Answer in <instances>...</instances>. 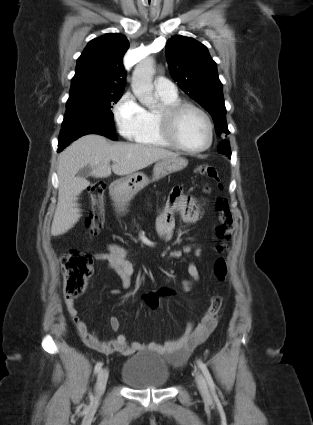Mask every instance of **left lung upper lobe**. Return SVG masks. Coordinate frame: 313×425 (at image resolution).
Listing matches in <instances>:
<instances>
[{"instance_id":"1","label":"left lung upper lobe","mask_w":313,"mask_h":425,"mask_svg":"<svg viewBox=\"0 0 313 425\" xmlns=\"http://www.w3.org/2000/svg\"><path fill=\"white\" fill-rule=\"evenodd\" d=\"M165 53L172 78L211 114L218 135L229 134L222 83L206 46L191 37L178 35L167 41ZM218 148L222 154L231 155L228 141H223Z\"/></svg>"}]
</instances>
